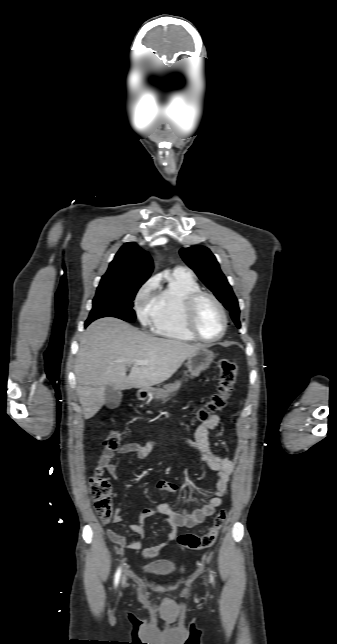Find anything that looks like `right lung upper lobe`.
Listing matches in <instances>:
<instances>
[{"instance_id": "cb5924a9", "label": "right lung upper lobe", "mask_w": 337, "mask_h": 644, "mask_svg": "<svg viewBox=\"0 0 337 644\" xmlns=\"http://www.w3.org/2000/svg\"><path fill=\"white\" fill-rule=\"evenodd\" d=\"M153 271L149 254L135 242L125 243L110 263L99 286L134 285L144 283Z\"/></svg>"}]
</instances>
